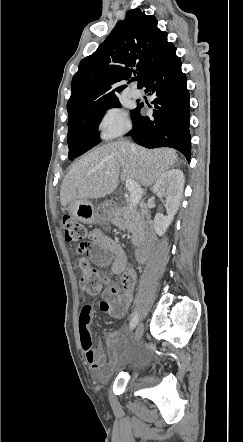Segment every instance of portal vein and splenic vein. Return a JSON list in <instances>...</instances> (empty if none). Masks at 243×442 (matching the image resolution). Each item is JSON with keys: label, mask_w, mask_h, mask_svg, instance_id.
Listing matches in <instances>:
<instances>
[{"label": "portal vein and splenic vein", "mask_w": 243, "mask_h": 442, "mask_svg": "<svg viewBox=\"0 0 243 442\" xmlns=\"http://www.w3.org/2000/svg\"><path fill=\"white\" fill-rule=\"evenodd\" d=\"M126 187L130 192V209L134 208L141 197V187L134 180H127Z\"/></svg>", "instance_id": "obj_1"}]
</instances>
